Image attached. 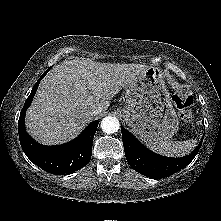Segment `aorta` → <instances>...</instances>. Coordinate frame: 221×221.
<instances>
[{
    "instance_id": "aorta-1",
    "label": "aorta",
    "mask_w": 221,
    "mask_h": 221,
    "mask_svg": "<svg viewBox=\"0 0 221 221\" xmlns=\"http://www.w3.org/2000/svg\"><path fill=\"white\" fill-rule=\"evenodd\" d=\"M120 123L116 117L107 116L101 121L102 131L107 134L115 133L119 130Z\"/></svg>"
}]
</instances>
